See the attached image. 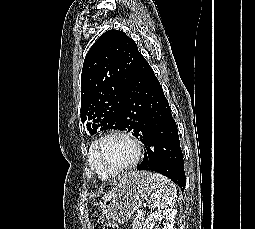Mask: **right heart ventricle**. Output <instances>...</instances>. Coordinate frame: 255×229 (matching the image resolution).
Returning a JSON list of instances; mask_svg holds the SVG:
<instances>
[{
	"mask_svg": "<svg viewBox=\"0 0 255 229\" xmlns=\"http://www.w3.org/2000/svg\"><path fill=\"white\" fill-rule=\"evenodd\" d=\"M88 163L91 168V170L101 179H110L113 178L114 176H109L99 165L98 163L92 158V154L88 152Z\"/></svg>",
	"mask_w": 255,
	"mask_h": 229,
	"instance_id": "1",
	"label": "right heart ventricle"
}]
</instances>
